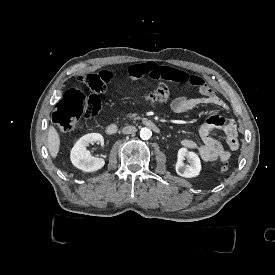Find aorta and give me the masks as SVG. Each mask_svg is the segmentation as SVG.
<instances>
[{"mask_svg":"<svg viewBox=\"0 0 275 275\" xmlns=\"http://www.w3.org/2000/svg\"><path fill=\"white\" fill-rule=\"evenodd\" d=\"M152 136V132L149 128H142L140 130V138L143 140H148Z\"/></svg>","mask_w":275,"mask_h":275,"instance_id":"1","label":"aorta"}]
</instances>
